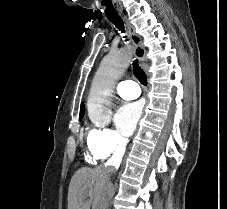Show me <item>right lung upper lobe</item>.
Returning a JSON list of instances; mask_svg holds the SVG:
<instances>
[{
	"label": "right lung upper lobe",
	"instance_id": "obj_1",
	"mask_svg": "<svg viewBox=\"0 0 227 209\" xmlns=\"http://www.w3.org/2000/svg\"><path fill=\"white\" fill-rule=\"evenodd\" d=\"M84 112H85V107H84V104L82 103L81 104V109H80V116H79L80 119L83 117Z\"/></svg>",
	"mask_w": 227,
	"mask_h": 209
}]
</instances>
